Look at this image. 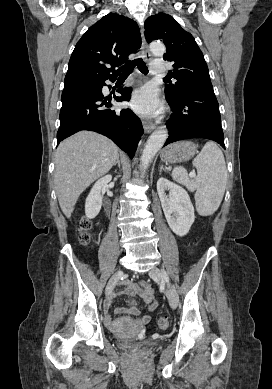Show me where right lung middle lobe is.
Returning a JSON list of instances; mask_svg holds the SVG:
<instances>
[{"label": "right lung middle lobe", "mask_w": 272, "mask_h": 389, "mask_svg": "<svg viewBox=\"0 0 272 389\" xmlns=\"http://www.w3.org/2000/svg\"><path fill=\"white\" fill-rule=\"evenodd\" d=\"M94 84H98V83H90V84H84V85H94Z\"/></svg>", "instance_id": "1"}]
</instances>
